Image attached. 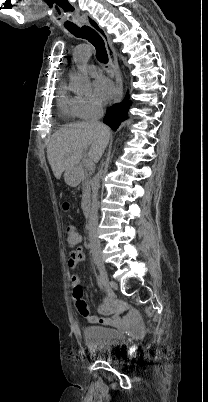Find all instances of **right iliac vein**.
<instances>
[{"label":"right iliac vein","mask_w":208,"mask_h":402,"mask_svg":"<svg viewBox=\"0 0 208 402\" xmlns=\"http://www.w3.org/2000/svg\"><path fill=\"white\" fill-rule=\"evenodd\" d=\"M94 263L96 264V266H97V268L99 270L100 277H101L104 285L108 289H110L111 288V282L109 281L107 270H106V267H105V264H104L103 260L100 257H96V258H94Z\"/></svg>","instance_id":"63e3f726"}]
</instances>
